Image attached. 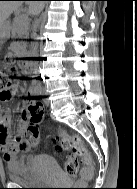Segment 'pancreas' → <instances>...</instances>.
Segmentation results:
<instances>
[{
  "label": "pancreas",
  "instance_id": "1",
  "mask_svg": "<svg viewBox=\"0 0 137 189\" xmlns=\"http://www.w3.org/2000/svg\"><path fill=\"white\" fill-rule=\"evenodd\" d=\"M29 22L25 18L17 17L12 26L13 35L24 38L28 34Z\"/></svg>",
  "mask_w": 137,
  "mask_h": 189
}]
</instances>
